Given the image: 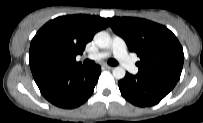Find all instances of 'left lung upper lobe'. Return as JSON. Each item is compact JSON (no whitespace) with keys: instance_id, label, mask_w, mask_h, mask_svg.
Wrapping results in <instances>:
<instances>
[{"instance_id":"obj_1","label":"left lung upper lobe","mask_w":203,"mask_h":123,"mask_svg":"<svg viewBox=\"0 0 203 123\" xmlns=\"http://www.w3.org/2000/svg\"><path fill=\"white\" fill-rule=\"evenodd\" d=\"M113 31L136 52L139 73L157 75L178 81L182 72L184 53L176 36L165 26L132 17L108 18Z\"/></svg>"}]
</instances>
